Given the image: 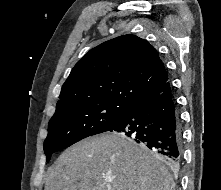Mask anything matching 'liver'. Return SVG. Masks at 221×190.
<instances>
[{
    "instance_id": "liver-1",
    "label": "liver",
    "mask_w": 221,
    "mask_h": 190,
    "mask_svg": "<svg viewBox=\"0 0 221 190\" xmlns=\"http://www.w3.org/2000/svg\"><path fill=\"white\" fill-rule=\"evenodd\" d=\"M111 178L108 182L106 179ZM171 174L124 135L106 133L66 149L48 169L44 190H174Z\"/></svg>"
}]
</instances>
